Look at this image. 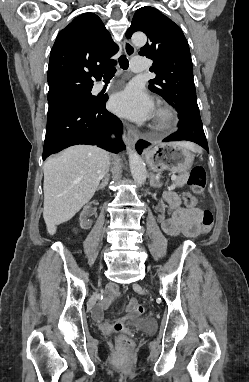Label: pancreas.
<instances>
[{
	"label": "pancreas",
	"mask_w": 249,
	"mask_h": 382,
	"mask_svg": "<svg viewBox=\"0 0 249 382\" xmlns=\"http://www.w3.org/2000/svg\"><path fill=\"white\" fill-rule=\"evenodd\" d=\"M187 180V175H180L173 180V187H182L186 184Z\"/></svg>",
	"instance_id": "obj_1"
}]
</instances>
